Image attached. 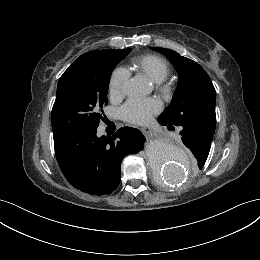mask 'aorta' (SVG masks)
<instances>
[{
	"label": "aorta",
	"mask_w": 260,
	"mask_h": 260,
	"mask_svg": "<svg viewBox=\"0 0 260 260\" xmlns=\"http://www.w3.org/2000/svg\"><path fill=\"white\" fill-rule=\"evenodd\" d=\"M128 96H141L150 92V86L142 78L134 77L124 85ZM146 155L154 176L167 185L183 182L192 171V162L187 152L163 137L151 140Z\"/></svg>",
	"instance_id": "1"
}]
</instances>
